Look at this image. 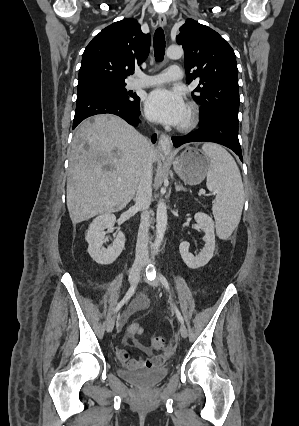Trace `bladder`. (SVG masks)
I'll return each mask as SVG.
<instances>
[{"mask_svg":"<svg viewBox=\"0 0 299 426\" xmlns=\"http://www.w3.org/2000/svg\"><path fill=\"white\" fill-rule=\"evenodd\" d=\"M169 373L167 367H156L149 369L119 370V376L127 382L142 388L153 387L164 380Z\"/></svg>","mask_w":299,"mask_h":426,"instance_id":"31cf9c89","label":"bladder"}]
</instances>
